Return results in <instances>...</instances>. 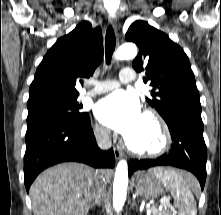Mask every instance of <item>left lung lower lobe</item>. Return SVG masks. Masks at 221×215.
Instances as JSON below:
<instances>
[{"instance_id": "0a47b994", "label": "left lung lower lobe", "mask_w": 221, "mask_h": 215, "mask_svg": "<svg viewBox=\"0 0 221 215\" xmlns=\"http://www.w3.org/2000/svg\"><path fill=\"white\" fill-rule=\"evenodd\" d=\"M165 122L173 141L170 152L157 159L131 160L128 166L129 176L138 169L174 166L192 172L203 189L206 180L207 149L203 138L201 113L175 108L170 111Z\"/></svg>"}]
</instances>
